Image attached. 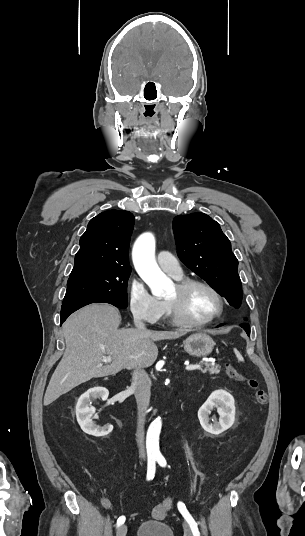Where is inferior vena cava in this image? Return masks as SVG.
<instances>
[{
    "label": "inferior vena cava",
    "instance_id": "1",
    "mask_svg": "<svg viewBox=\"0 0 305 536\" xmlns=\"http://www.w3.org/2000/svg\"><path fill=\"white\" fill-rule=\"evenodd\" d=\"M134 326L137 330H142V332H148L144 322H142L139 316H134ZM133 394H135L138 410V420H137V444L139 448V454L141 458L145 456L144 450V424L147 408L150 402V378L146 374L145 370H134L133 372V382L131 388Z\"/></svg>",
    "mask_w": 305,
    "mask_h": 536
}]
</instances>
